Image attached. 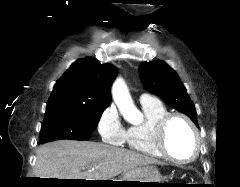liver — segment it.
I'll return each instance as SVG.
<instances>
[{
	"label": "liver",
	"mask_w": 240,
	"mask_h": 187,
	"mask_svg": "<svg viewBox=\"0 0 240 187\" xmlns=\"http://www.w3.org/2000/svg\"><path fill=\"white\" fill-rule=\"evenodd\" d=\"M157 160L97 142L60 140L36 152V178L110 180Z\"/></svg>",
	"instance_id": "obj_1"
}]
</instances>
